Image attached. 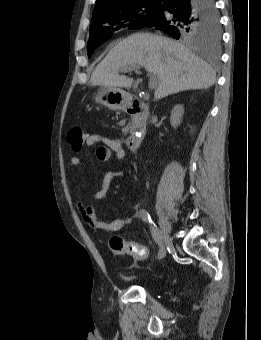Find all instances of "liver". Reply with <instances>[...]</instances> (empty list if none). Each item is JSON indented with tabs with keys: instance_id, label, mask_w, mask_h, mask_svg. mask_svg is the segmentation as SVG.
<instances>
[{
	"instance_id": "6515ba94",
	"label": "liver",
	"mask_w": 261,
	"mask_h": 340,
	"mask_svg": "<svg viewBox=\"0 0 261 340\" xmlns=\"http://www.w3.org/2000/svg\"><path fill=\"white\" fill-rule=\"evenodd\" d=\"M143 66L159 81L155 99L184 90L207 89L214 85L213 68L181 43L150 33H135L120 41L94 69L90 85L130 88L133 79L119 71Z\"/></svg>"
}]
</instances>
